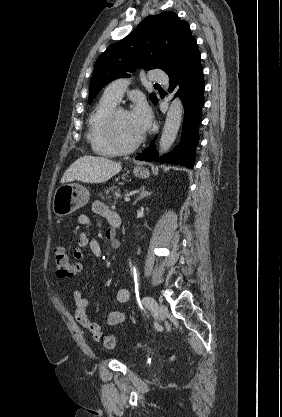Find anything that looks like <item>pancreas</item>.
<instances>
[{
    "instance_id": "cf45deb5",
    "label": "pancreas",
    "mask_w": 282,
    "mask_h": 417,
    "mask_svg": "<svg viewBox=\"0 0 282 417\" xmlns=\"http://www.w3.org/2000/svg\"><path fill=\"white\" fill-rule=\"evenodd\" d=\"M105 194H112V196H105ZM122 192H120V188H117V186H110V188H104L103 190V194L102 192H100L99 196H101V198H104V200H107L108 202V198H119V196H121Z\"/></svg>"
}]
</instances>
